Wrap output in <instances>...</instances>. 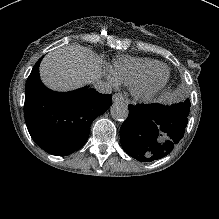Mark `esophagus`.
Returning a JSON list of instances; mask_svg holds the SVG:
<instances>
[{"mask_svg":"<svg viewBox=\"0 0 219 219\" xmlns=\"http://www.w3.org/2000/svg\"><path fill=\"white\" fill-rule=\"evenodd\" d=\"M113 102L124 101V97L121 93H116L112 97Z\"/></svg>","mask_w":219,"mask_h":219,"instance_id":"esophagus-1","label":"esophagus"}]
</instances>
